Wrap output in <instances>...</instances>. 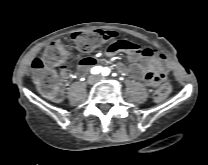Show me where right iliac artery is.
<instances>
[{
    "mask_svg": "<svg viewBox=\"0 0 208 165\" xmlns=\"http://www.w3.org/2000/svg\"><path fill=\"white\" fill-rule=\"evenodd\" d=\"M101 70H102V67L96 66V67L92 68L91 73L92 74H98V73L101 72Z\"/></svg>",
    "mask_w": 208,
    "mask_h": 165,
    "instance_id": "1",
    "label": "right iliac artery"
}]
</instances>
